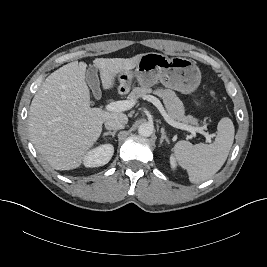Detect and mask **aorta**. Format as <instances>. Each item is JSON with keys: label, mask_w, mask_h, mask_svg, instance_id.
I'll return each mask as SVG.
<instances>
[{"label": "aorta", "mask_w": 267, "mask_h": 267, "mask_svg": "<svg viewBox=\"0 0 267 267\" xmlns=\"http://www.w3.org/2000/svg\"><path fill=\"white\" fill-rule=\"evenodd\" d=\"M154 126L152 123H142L138 128V133L143 137H149L152 135Z\"/></svg>", "instance_id": "obj_1"}]
</instances>
